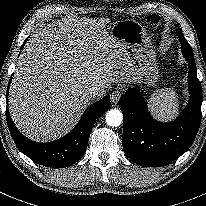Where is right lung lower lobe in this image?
<instances>
[{
    "label": "right lung lower lobe",
    "mask_w": 206,
    "mask_h": 206,
    "mask_svg": "<svg viewBox=\"0 0 206 206\" xmlns=\"http://www.w3.org/2000/svg\"><path fill=\"white\" fill-rule=\"evenodd\" d=\"M26 41L27 39L21 48H23ZM7 101L8 97H6ZM109 105L110 96L106 95L103 99L93 103L86 109L72 131L58 140L47 143L34 142L21 134L10 117L8 105L6 108V119L11 136L22 153L39 165L51 168H64L76 163L84 155L95 121L109 109Z\"/></svg>",
    "instance_id": "right-lung-lower-lobe-1"
}]
</instances>
